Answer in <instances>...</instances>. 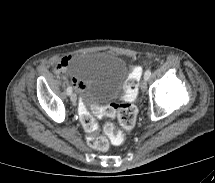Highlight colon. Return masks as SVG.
Here are the masks:
<instances>
[{"label":"colon","instance_id":"colon-1","mask_svg":"<svg viewBox=\"0 0 215 183\" xmlns=\"http://www.w3.org/2000/svg\"><path fill=\"white\" fill-rule=\"evenodd\" d=\"M126 101L117 105H93L92 113L98 117H113L117 115L120 124L126 128H131L136 120L137 111L132 101L137 95V81L135 78L130 79L126 83ZM80 117L83 126L90 132L87 141L88 144L101 151H105L109 148L110 144L120 145L124 142L125 137L115 131L113 124L107 123L104 126V135L97 134L96 125L93 115L89 113L82 102L80 107Z\"/></svg>","mask_w":215,"mask_h":183}]
</instances>
